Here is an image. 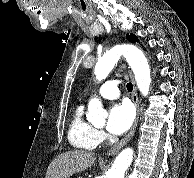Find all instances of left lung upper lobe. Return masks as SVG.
Returning a JSON list of instances; mask_svg holds the SVG:
<instances>
[{
	"label": "left lung upper lobe",
	"instance_id": "obj_1",
	"mask_svg": "<svg viewBox=\"0 0 194 178\" xmlns=\"http://www.w3.org/2000/svg\"><path fill=\"white\" fill-rule=\"evenodd\" d=\"M126 38H127L128 41H130V42H132V43L138 41V38H137L135 35H133V34H130V35L127 34V35H126Z\"/></svg>",
	"mask_w": 194,
	"mask_h": 178
}]
</instances>
